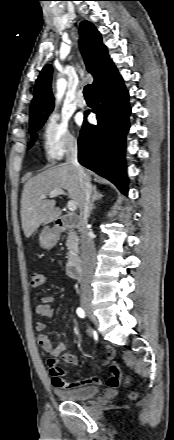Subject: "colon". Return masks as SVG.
Returning <instances> with one entry per match:
<instances>
[{
    "instance_id": "colon-1",
    "label": "colon",
    "mask_w": 174,
    "mask_h": 440,
    "mask_svg": "<svg viewBox=\"0 0 174 440\" xmlns=\"http://www.w3.org/2000/svg\"><path fill=\"white\" fill-rule=\"evenodd\" d=\"M45 281V276L41 270L33 269L30 272V283L32 287H39L41 286ZM117 369L119 370V367L117 366ZM136 393H132L131 397H135Z\"/></svg>"
}]
</instances>
